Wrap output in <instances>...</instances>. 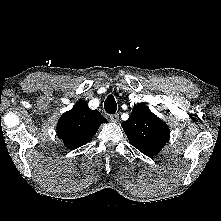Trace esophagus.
<instances>
[{"label":"esophagus","instance_id":"obj_1","mask_svg":"<svg viewBox=\"0 0 221 221\" xmlns=\"http://www.w3.org/2000/svg\"><path fill=\"white\" fill-rule=\"evenodd\" d=\"M110 120L114 123L117 122L119 120V115L118 114L110 115Z\"/></svg>","mask_w":221,"mask_h":221}]
</instances>
